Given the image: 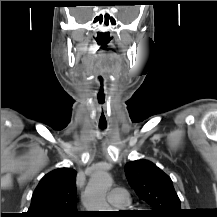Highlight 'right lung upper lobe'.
<instances>
[{
    "mask_svg": "<svg viewBox=\"0 0 217 217\" xmlns=\"http://www.w3.org/2000/svg\"><path fill=\"white\" fill-rule=\"evenodd\" d=\"M75 178L76 171L71 168H59L46 174L32 195L26 217L78 215Z\"/></svg>",
    "mask_w": 217,
    "mask_h": 217,
    "instance_id": "right-lung-upper-lobe-1",
    "label": "right lung upper lobe"
}]
</instances>
